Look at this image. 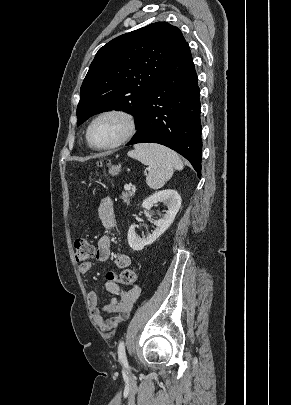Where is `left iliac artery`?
Segmentation results:
<instances>
[{
  "mask_svg": "<svg viewBox=\"0 0 291 405\" xmlns=\"http://www.w3.org/2000/svg\"><path fill=\"white\" fill-rule=\"evenodd\" d=\"M118 358L124 364V366L128 365L126 353H125L124 341H120V343L118 345Z\"/></svg>",
  "mask_w": 291,
  "mask_h": 405,
  "instance_id": "1",
  "label": "left iliac artery"
}]
</instances>
